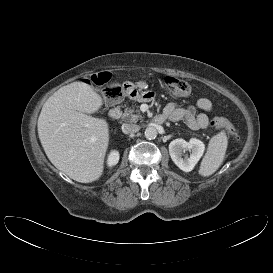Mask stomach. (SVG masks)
<instances>
[{"label": "stomach", "mask_w": 273, "mask_h": 273, "mask_svg": "<svg viewBox=\"0 0 273 273\" xmlns=\"http://www.w3.org/2000/svg\"><path fill=\"white\" fill-rule=\"evenodd\" d=\"M130 99L139 101V102H149L154 99V94L151 91H142V89L136 90L130 88L125 93Z\"/></svg>", "instance_id": "1"}]
</instances>
